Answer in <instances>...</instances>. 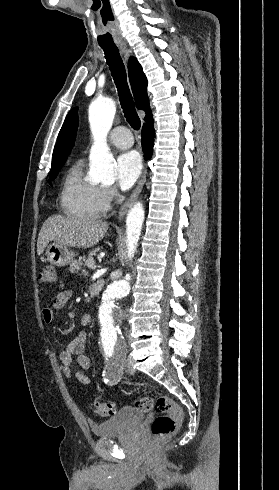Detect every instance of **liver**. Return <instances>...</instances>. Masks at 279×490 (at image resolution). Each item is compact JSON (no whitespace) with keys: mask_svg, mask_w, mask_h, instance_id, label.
<instances>
[{"mask_svg":"<svg viewBox=\"0 0 279 490\" xmlns=\"http://www.w3.org/2000/svg\"><path fill=\"white\" fill-rule=\"evenodd\" d=\"M108 230L107 222L93 218L51 216L44 222L38 236L37 254L41 256L49 242L72 248H91Z\"/></svg>","mask_w":279,"mask_h":490,"instance_id":"liver-1","label":"liver"}]
</instances>
